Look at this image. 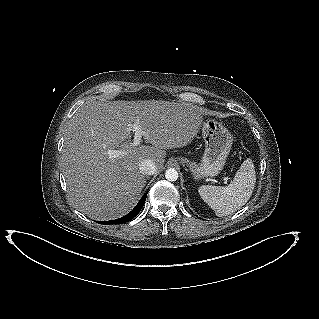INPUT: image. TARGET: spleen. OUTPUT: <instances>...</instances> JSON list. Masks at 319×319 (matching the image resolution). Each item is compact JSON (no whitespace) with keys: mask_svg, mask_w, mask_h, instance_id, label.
<instances>
[{"mask_svg":"<svg viewBox=\"0 0 319 319\" xmlns=\"http://www.w3.org/2000/svg\"><path fill=\"white\" fill-rule=\"evenodd\" d=\"M256 182L255 167L246 159L237 170L233 181L224 187L203 185L198 192L217 216H226L239 210L252 196Z\"/></svg>","mask_w":319,"mask_h":319,"instance_id":"3e777b00","label":"spleen"}]
</instances>
